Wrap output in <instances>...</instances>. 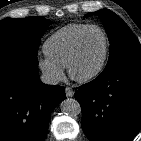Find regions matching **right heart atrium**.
Returning a JSON list of instances; mask_svg holds the SVG:
<instances>
[{
  "label": "right heart atrium",
  "instance_id": "d8ad5b80",
  "mask_svg": "<svg viewBox=\"0 0 141 141\" xmlns=\"http://www.w3.org/2000/svg\"><path fill=\"white\" fill-rule=\"evenodd\" d=\"M38 66L46 80L50 83H56L64 77V67L46 55L38 60Z\"/></svg>",
  "mask_w": 141,
  "mask_h": 141
}]
</instances>
